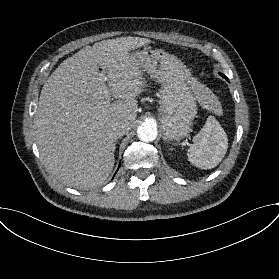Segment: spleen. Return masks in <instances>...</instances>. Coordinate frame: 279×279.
<instances>
[{"mask_svg":"<svg viewBox=\"0 0 279 279\" xmlns=\"http://www.w3.org/2000/svg\"><path fill=\"white\" fill-rule=\"evenodd\" d=\"M198 101L203 108L222 115V107L211 90L202 86V94ZM228 148V138L219 124L209 116L200 132L193 137V144L188 149V159L196 167L211 169L216 167L224 158Z\"/></svg>","mask_w":279,"mask_h":279,"instance_id":"3e777b00","label":"spleen"}]
</instances>
